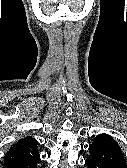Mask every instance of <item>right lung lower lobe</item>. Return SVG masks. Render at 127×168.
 Here are the masks:
<instances>
[{
    "mask_svg": "<svg viewBox=\"0 0 127 168\" xmlns=\"http://www.w3.org/2000/svg\"><path fill=\"white\" fill-rule=\"evenodd\" d=\"M39 157L26 159H6L3 168H37Z\"/></svg>",
    "mask_w": 127,
    "mask_h": 168,
    "instance_id": "right-lung-lower-lobe-1",
    "label": "right lung lower lobe"
}]
</instances>
